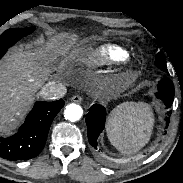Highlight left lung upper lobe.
Masks as SVG:
<instances>
[{
	"label": "left lung upper lobe",
	"mask_w": 183,
	"mask_h": 183,
	"mask_svg": "<svg viewBox=\"0 0 183 183\" xmlns=\"http://www.w3.org/2000/svg\"><path fill=\"white\" fill-rule=\"evenodd\" d=\"M155 65L158 68H160L161 70L167 71L166 59H165V55L163 54V52H159L158 55L156 56Z\"/></svg>",
	"instance_id": "1"
}]
</instances>
